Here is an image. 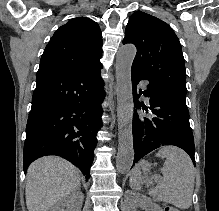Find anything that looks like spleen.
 I'll use <instances>...</instances> for the list:
<instances>
[{
    "mask_svg": "<svg viewBox=\"0 0 219 211\" xmlns=\"http://www.w3.org/2000/svg\"><path fill=\"white\" fill-rule=\"evenodd\" d=\"M156 155L166 159L162 169L164 177H151L157 181V185L150 191L153 199L173 203L180 209H188L192 205L195 181L194 167L188 153L176 145H165ZM141 183V171L134 167L130 175V187L141 189Z\"/></svg>",
    "mask_w": 219,
    "mask_h": 211,
    "instance_id": "3e777b00",
    "label": "spleen"
}]
</instances>
